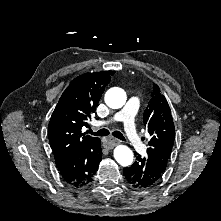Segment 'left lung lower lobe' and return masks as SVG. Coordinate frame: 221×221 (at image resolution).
I'll return each instance as SVG.
<instances>
[{
    "label": "left lung lower lobe",
    "mask_w": 221,
    "mask_h": 221,
    "mask_svg": "<svg viewBox=\"0 0 221 221\" xmlns=\"http://www.w3.org/2000/svg\"><path fill=\"white\" fill-rule=\"evenodd\" d=\"M165 168L148 157L137 156L131 167L124 168L128 183L137 189H145L155 185L164 174Z\"/></svg>",
    "instance_id": "left-lung-lower-lobe-1"
}]
</instances>
